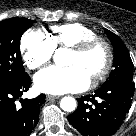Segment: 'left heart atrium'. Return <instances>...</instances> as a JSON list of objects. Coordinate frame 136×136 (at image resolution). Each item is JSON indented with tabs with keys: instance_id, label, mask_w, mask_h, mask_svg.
<instances>
[{
	"instance_id": "1",
	"label": "left heart atrium",
	"mask_w": 136,
	"mask_h": 136,
	"mask_svg": "<svg viewBox=\"0 0 136 136\" xmlns=\"http://www.w3.org/2000/svg\"><path fill=\"white\" fill-rule=\"evenodd\" d=\"M37 90L48 94L79 92L86 89L90 79L83 70L71 65L68 67L51 66L38 72L34 77Z\"/></svg>"
}]
</instances>
